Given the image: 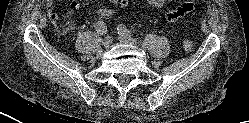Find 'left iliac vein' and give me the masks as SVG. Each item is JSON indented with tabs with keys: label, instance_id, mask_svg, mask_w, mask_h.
Here are the masks:
<instances>
[{
	"label": "left iliac vein",
	"instance_id": "4c4485c4",
	"mask_svg": "<svg viewBox=\"0 0 249 123\" xmlns=\"http://www.w3.org/2000/svg\"><path fill=\"white\" fill-rule=\"evenodd\" d=\"M118 35H119V38H120L121 42L129 43V44H133V45L137 44V41L134 38L130 37V36H127V35L122 34V33H118Z\"/></svg>",
	"mask_w": 249,
	"mask_h": 123
}]
</instances>
